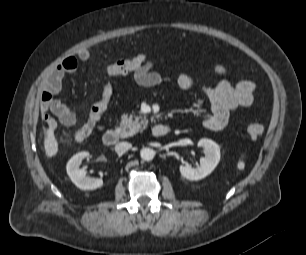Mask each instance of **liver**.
Segmentation results:
<instances>
[{"mask_svg":"<svg viewBox=\"0 0 306 255\" xmlns=\"http://www.w3.org/2000/svg\"><path fill=\"white\" fill-rule=\"evenodd\" d=\"M44 148H45L46 155L49 158L54 157L59 151L58 141L54 134V127L52 126H50L46 131V137L44 140Z\"/></svg>","mask_w":306,"mask_h":255,"instance_id":"liver-1","label":"liver"}]
</instances>
